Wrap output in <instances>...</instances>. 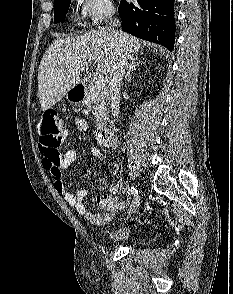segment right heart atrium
Listing matches in <instances>:
<instances>
[{
    "instance_id": "d8ad5b80",
    "label": "right heart atrium",
    "mask_w": 233,
    "mask_h": 294,
    "mask_svg": "<svg viewBox=\"0 0 233 294\" xmlns=\"http://www.w3.org/2000/svg\"><path fill=\"white\" fill-rule=\"evenodd\" d=\"M77 9L86 25L98 27L115 13L111 0H76Z\"/></svg>"
}]
</instances>
